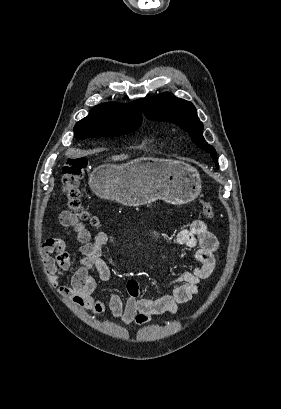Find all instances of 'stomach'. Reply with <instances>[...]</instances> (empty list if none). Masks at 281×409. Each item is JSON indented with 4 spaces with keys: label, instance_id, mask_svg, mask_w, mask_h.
Segmentation results:
<instances>
[{
    "label": "stomach",
    "instance_id": "obj_1",
    "mask_svg": "<svg viewBox=\"0 0 281 409\" xmlns=\"http://www.w3.org/2000/svg\"><path fill=\"white\" fill-rule=\"evenodd\" d=\"M91 190L126 207H140L153 200L187 205L201 192L197 168L184 160L142 156L123 164H100L89 176Z\"/></svg>",
    "mask_w": 281,
    "mask_h": 409
}]
</instances>
